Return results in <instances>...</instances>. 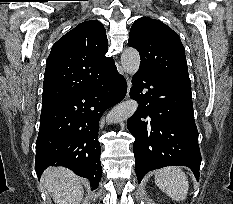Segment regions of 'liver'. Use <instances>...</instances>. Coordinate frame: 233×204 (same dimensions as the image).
I'll return each mask as SVG.
<instances>
[{
	"instance_id": "1",
	"label": "liver",
	"mask_w": 233,
	"mask_h": 204,
	"mask_svg": "<svg viewBox=\"0 0 233 204\" xmlns=\"http://www.w3.org/2000/svg\"><path fill=\"white\" fill-rule=\"evenodd\" d=\"M41 182L57 204H79L83 198L81 179L67 168H47Z\"/></svg>"
}]
</instances>
